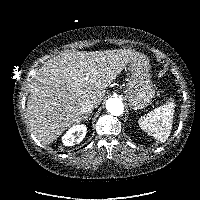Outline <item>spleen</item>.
<instances>
[{"instance_id":"obj_1","label":"spleen","mask_w":200,"mask_h":200,"mask_svg":"<svg viewBox=\"0 0 200 200\" xmlns=\"http://www.w3.org/2000/svg\"><path fill=\"white\" fill-rule=\"evenodd\" d=\"M174 107L175 104L170 99L146 116H142L138 121L140 128L157 141L165 142L172 130Z\"/></svg>"}]
</instances>
